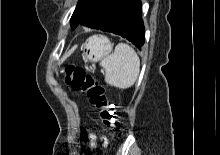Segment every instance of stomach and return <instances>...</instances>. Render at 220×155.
Segmentation results:
<instances>
[{"instance_id": "0dacf381", "label": "stomach", "mask_w": 220, "mask_h": 155, "mask_svg": "<svg viewBox=\"0 0 220 155\" xmlns=\"http://www.w3.org/2000/svg\"><path fill=\"white\" fill-rule=\"evenodd\" d=\"M84 56L89 60L97 61L112 51L110 40L103 35H94L84 44Z\"/></svg>"}]
</instances>
